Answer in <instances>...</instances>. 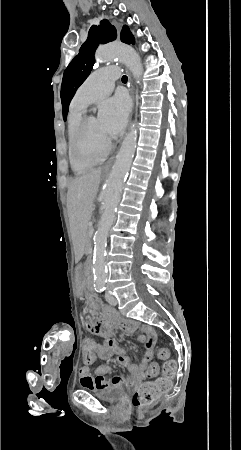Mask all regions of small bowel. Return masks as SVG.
I'll use <instances>...</instances> for the list:
<instances>
[{
    "label": "small bowel",
    "instance_id": "c3829d8e",
    "mask_svg": "<svg viewBox=\"0 0 241 450\" xmlns=\"http://www.w3.org/2000/svg\"><path fill=\"white\" fill-rule=\"evenodd\" d=\"M83 304L85 307H92L94 301L92 298H85ZM83 315L88 317L90 312L85 310ZM98 321L105 324H97ZM106 324L109 325L108 328ZM87 327L92 330L94 329L95 333L101 335L104 338V344H97V347L100 349V354L99 356H95L94 361H84L86 366L80 370V382L84 388L90 390H106L111 387H136L147 378L146 372L154 356V348L159 342V333L152 325L142 324L132 319L123 320L117 324H114V327L126 334L140 332L139 340L144 345V351L138 364H133L125 351L120 348L116 341L112 338L113 325H111L108 321H91L87 324ZM89 340L94 342L91 339ZM112 353L118 354L117 361L129 370L130 375L127 377L122 375H114L107 378L105 373L109 368L107 365H101L96 368L95 375L92 376L90 367L87 366V363L91 362L93 365L98 358L103 360L108 359Z\"/></svg>",
    "mask_w": 241,
    "mask_h": 450
}]
</instances>
